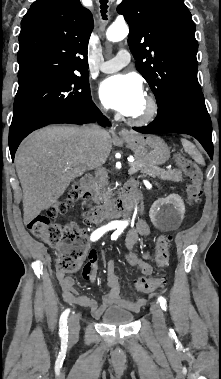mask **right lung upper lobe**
I'll return each mask as SVG.
<instances>
[{
    "label": "right lung upper lobe",
    "instance_id": "cb5924a9",
    "mask_svg": "<svg viewBox=\"0 0 221 379\" xmlns=\"http://www.w3.org/2000/svg\"><path fill=\"white\" fill-rule=\"evenodd\" d=\"M91 12L79 0H37L21 22L19 83L62 73L88 72Z\"/></svg>",
    "mask_w": 221,
    "mask_h": 379
}]
</instances>
